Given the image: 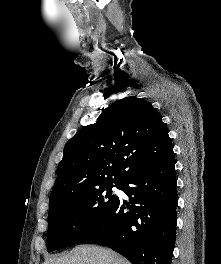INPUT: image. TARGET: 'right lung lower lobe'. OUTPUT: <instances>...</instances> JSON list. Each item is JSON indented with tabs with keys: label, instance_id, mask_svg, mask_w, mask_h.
Instances as JSON below:
<instances>
[{
	"label": "right lung lower lobe",
	"instance_id": "obj_1",
	"mask_svg": "<svg viewBox=\"0 0 221 264\" xmlns=\"http://www.w3.org/2000/svg\"><path fill=\"white\" fill-rule=\"evenodd\" d=\"M120 189L130 203L118 200L80 243L107 246L132 264H171L178 203L174 155L130 175Z\"/></svg>",
	"mask_w": 221,
	"mask_h": 264
}]
</instances>
